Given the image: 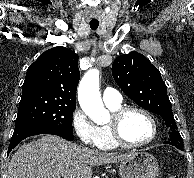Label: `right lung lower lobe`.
I'll return each instance as SVG.
<instances>
[{"label":"right lung lower lobe","instance_id":"obj_1","mask_svg":"<svg viewBox=\"0 0 194 178\" xmlns=\"http://www.w3.org/2000/svg\"><path fill=\"white\" fill-rule=\"evenodd\" d=\"M38 134L58 135L69 141H72L74 138L72 133L59 132V131H55L54 129L48 128V127H42V126L22 127V128H18L14 130L13 136L11 138V141L8 147V154L23 139L29 136L38 135Z\"/></svg>","mask_w":194,"mask_h":178}]
</instances>
